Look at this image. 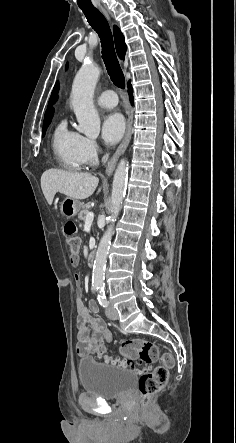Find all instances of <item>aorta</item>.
I'll return each mask as SVG.
<instances>
[{
    "label": "aorta",
    "instance_id": "aorta-1",
    "mask_svg": "<svg viewBox=\"0 0 236 443\" xmlns=\"http://www.w3.org/2000/svg\"><path fill=\"white\" fill-rule=\"evenodd\" d=\"M100 76V68L93 63H84L77 72L72 85L71 107L78 121L77 130L89 138H96L100 133V118L93 105V95ZM128 164L122 159L115 171L111 194V224L103 234L94 260L92 283L104 286L107 255L113 234V223L121 210L126 192Z\"/></svg>",
    "mask_w": 236,
    "mask_h": 443
}]
</instances>
